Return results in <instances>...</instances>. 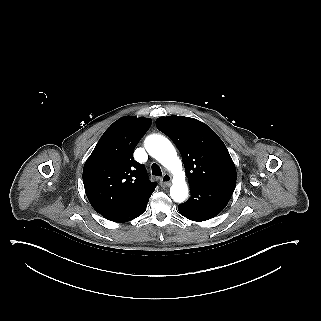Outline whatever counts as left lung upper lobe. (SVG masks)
Here are the masks:
<instances>
[{"mask_svg": "<svg viewBox=\"0 0 321 321\" xmlns=\"http://www.w3.org/2000/svg\"><path fill=\"white\" fill-rule=\"evenodd\" d=\"M157 128L179 149L189 185L236 182V168L218 135L203 122L184 116L160 117Z\"/></svg>", "mask_w": 321, "mask_h": 321, "instance_id": "1", "label": "left lung upper lobe"}]
</instances>
